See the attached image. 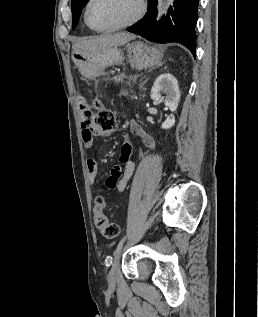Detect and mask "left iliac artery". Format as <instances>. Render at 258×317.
<instances>
[{
    "mask_svg": "<svg viewBox=\"0 0 258 317\" xmlns=\"http://www.w3.org/2000/svg\"><path fill=\"white\" fill-rule=\"evenodd\" d=\"M125 240H126V235L123 236V237L121 238V240L119 241V243H118V245H117V247H116V250L114 251V255H116V254L118 253V251L121 249V247L123 246Z\"/></svg>",
    "mask_w": 258,
    "mask_h": 317,
    "instance_id": "1",
    "label": "left iliac artery"
}]
</instances>
